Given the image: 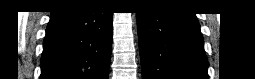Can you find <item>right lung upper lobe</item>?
<instances>
[{
    "label": "right lung upper lobe",
    "instance_id": "cb5924a9",
    "mask_svg": "<svg viewBox=\"0 0 255 79\" xmlns=\"http://www.w3.org/2000/svg\"><path fill=\"white\" fill-rule=\"evenodd\" d=\"M86 1L83 0H64L60 2V6H66V5H73V4H79L84 3Z\"/></svg>",
    "mask_w": 255,
    "mask_h": 79
}]
</instances>
